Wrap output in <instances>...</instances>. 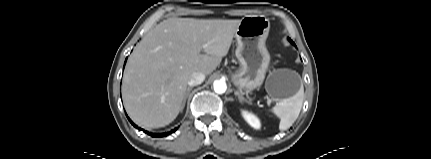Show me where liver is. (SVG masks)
I'll list each match as a JSON object with an SVG mask.
<instances>
[{
	"instance_id": "6515ba94",
	"label": "liver",
	"mask_w": 431,
	"mask_h": 159,
	"mask_svg": "<svg viewBox=\"0 0 431 159\" xmlns=\"http://www.w3.org/2000/svg\"><path fill=\"white\" fill-rule=\"evenodd\" d=\"M240 22L169 18L150 30L133 51L123 77L122 97L130 118L145 128L174 121L190 75H209L220 65Z\"/></svg>"
}]
</instances>
